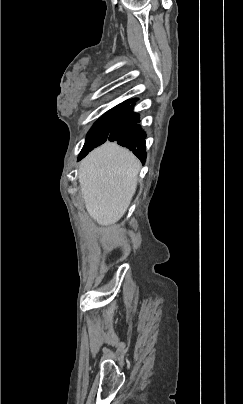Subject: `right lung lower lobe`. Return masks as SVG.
<instances>
[{
	"label": "right lung lower lobe",
	"instance_id": "1",
	"mask_svg": "<svg viewBox=\"0 0 243 404\" xmlns=\"http://www.w3.org/2000/svg\"><path fill=\"white\" fill-rule=\"evenodd\" d=\"M133 106L128 105L122 116L115 122L107 141H116L119 145L128 148L144 163L146 134L137 124L139 115L132 111Z\"/></svg>",
	"mask_w": 243,
	"mask_h": 404
}]
</instances>
